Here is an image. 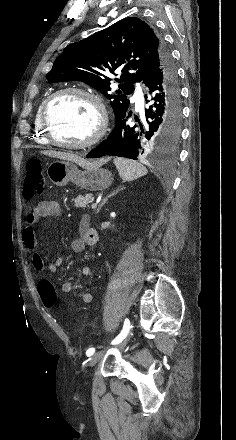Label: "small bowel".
<instances>
[{"label": "small bowel", "mask_w": 236, "mask_h": 440, "mask_svg": "<svg viewBox=\"0 0 236 440\" xmlns=\"http://www.w3.org/2000/svg\"><path fill=\"white\" fill-rule=\"evenodd\" d=\"M60 213V205L56 200H43L37 205L33 206L27 211L25 217V226L22 232V241L24 246L32 252V264L36 272L43 273L48 270L55 273L62 265L63 258L55 257L48 265L45 264L42 255L37 250V238L35 224L42 217H56ZM98 241V234L90 225L89 216H84L79 224L78 235L71 242V249L74 252H80L87 246H94ZM93 269L90 265L81 267V274L85 278L92 276ZM74 290V283L72 281H65L62 284V291L64 293H71ZM93 295L90 291H84L81 294V301L83 303H90Z\"/></svg>", "instance_id": "obj_1"}]
</instances>
